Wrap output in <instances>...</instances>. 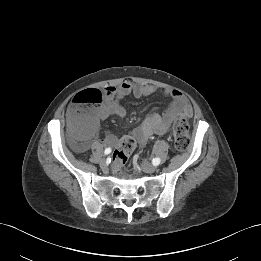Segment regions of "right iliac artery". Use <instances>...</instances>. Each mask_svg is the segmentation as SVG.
I'll return each instance as SVG.
<instances>
[{
	"mask_svg": "<svg viewBox=\"0 0 261 261\" xmlns=\"http://www.w3.org/2000/svg\"><path fill=\"white\" fill-rule=\"evenodd\" d=\"M110 153H111V148H106L105 151H104V154L108 155Z\"/></svg>",
	"mask_w": 261,
	"mask_h": 261,
	"instance_id": "obj_1",
	"label": "right iliac artery"
}]
</instances>
